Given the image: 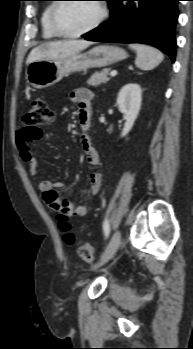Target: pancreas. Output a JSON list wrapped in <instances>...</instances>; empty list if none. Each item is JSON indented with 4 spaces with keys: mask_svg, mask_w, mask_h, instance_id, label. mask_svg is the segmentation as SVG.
<instances>
[{
    "mask_svg": "<svg viewBox=\"0 0 193 349\" xmlns=\"http://www.w3.org/2000/svg\"><path fill=\"white\" fill-rule=\"evenodd\" d=\"M110 69L106 68L103 69L101 72L94 73L90 79H88L87 84L89 86H98L102 83H106L109 81V78L107 77V74L109 73Z\"/></svg>",
    "mask_w": 193,
    "mask_h": 349,
    "instance_id": "cf45deb5",
    "label": "pancreas"
}]
</instances>
